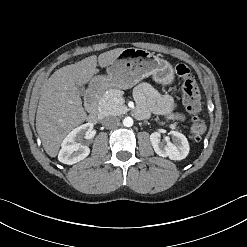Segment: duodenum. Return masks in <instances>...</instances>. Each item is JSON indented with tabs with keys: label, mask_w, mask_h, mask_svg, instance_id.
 <instances>
[{
	"label": "duodenum",
	"mask_w": 247,
	"mask_h": 247,
	"mask_svg": "<svg viewBox=\"0 0 247 247\" xmlns=\"http://www.w3.org/2000/svg\"><path fill=\"white\" fill-rule=\"evenodd\" d=\"M102 94V88L95 86L89 90L85 98V104L89 111L87 120L90 123H96L99 120L98 101Z\"/></svg>",
	"instance_id": "410a0bca"
}]
</instances>
